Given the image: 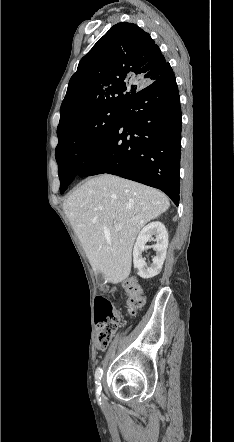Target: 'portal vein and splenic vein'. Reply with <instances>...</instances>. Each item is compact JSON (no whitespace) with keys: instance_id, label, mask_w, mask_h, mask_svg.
Returning a JSON list of instances; mask_svg holds the SVG:
<instances>
[{"instance_id":"obj_1","label":"portal vein and splenic vein","mask_w":234,"mask_h":442,"mask_svg":"<svg viewBox=\"0 0 234 442\" xmlns=\"http://www.w3.org/2000/svg\"><path fill=\"white\" fill-rule=\"evenodd\" d=\"M114 226L118 230L122 228V225L120 223H115Z\"/></svg>"}]
</instances>
